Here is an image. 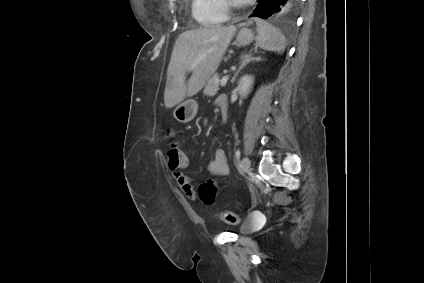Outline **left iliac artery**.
I'll return each instance as SVG.
<instances>
[{"mask_svg": "<svg viewBox=\"0 0 424 283\" xmlns=\"http://www.w3.org/2000/svg\"><path fill=\"white\" fill-rule=\"evenodd\" d=\"M236 157L239 159V157H240V155H241V152H240V150L238 149L237 151H236Z\"/></svg>", "mask_w": 424, "mask_h": 283, "instance_id": "44dca946", "label": "left iliac artery"}]
</instances>
